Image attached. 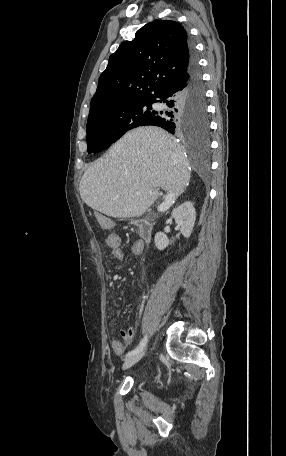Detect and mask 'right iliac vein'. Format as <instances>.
I'll return each mask as SVG.
<instances>
[{"instance_id": "right-iliac-vein-1", "label": "right iliac vein", "mask_w": 286, "mask_h": 456, "mask_svg": "<svg viewBox=\"0 0 286 456\" xmlns=\"http://www.w3.org/2000/svg\"><path fill=\"white\" fill-rule=\"evenodd\" d=\"M144 354H145V351L127 358L122 365V369L123 370L128 369L131 366H133L134 364H136L143 357Z\"/></svg>"}]
</instances>
